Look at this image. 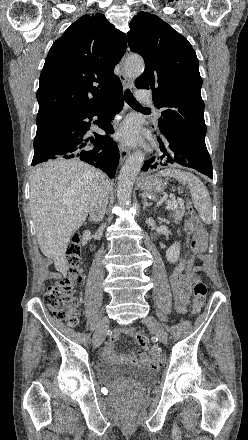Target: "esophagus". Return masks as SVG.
<instances>
[{
	"mask_svg": "<svg viewBox=\"0 0 248 440\" xmlns=\"http://www.w3.org/2000/svg\"><path fill=\"white\" fill-rule=\"evenodd\" d=\"M124 60H125V56L120 61V78L124 87L132 88L134 83L133 80L126 74L124 70ZM119 152H120V162L123 163L128 157L130 151L126 146L121 144L119 146Z\"/></svg>",
	"mask_w": 248,
	"mask_h": 440,
	"instance_id": "34e87169",
	"label": "esophagus"
}]
</instances>
